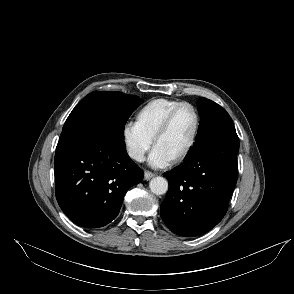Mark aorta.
Masks as SVG:
<instances>
[{
    "label": "aorta",
    "mask_w": 294,
    "mask_h": 294,
    "mask_svg": "<svg viewBox=\"0 0 294 294\" xmlns=\"http://www.w3.org/2000/svg\"><path fill=\"white\" fill-rule=\"evenodd\" d=\"M150 190L156 195H163L168 190V181L160 176L154 177L149 183Z\"/></svg>",
    "instance_id": "1"
}]
</instances>
